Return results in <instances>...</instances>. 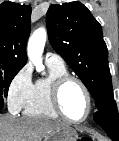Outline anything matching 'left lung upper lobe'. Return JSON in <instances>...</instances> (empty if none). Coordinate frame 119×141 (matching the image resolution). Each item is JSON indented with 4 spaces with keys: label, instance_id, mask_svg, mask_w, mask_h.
Masks as SVG:
<instances>
[{
    "label": "left lung upper lobe",
    "instance_id": "5c2ea615",
    "mask_svg": "<svg viewBox=\"0 0 119 141\" xmlns=\"http://www.w3.org/2000/svg\"><path fill=\"white\" fill-rule=\"evenodd\" d=\"M46 24L52 47L89 89L97 110L113 101L108 50L90 11L77 1L51 5Z\"/></svg>",
    "mask_w": 119,
    "mask_h": 141
}]
</instances>
